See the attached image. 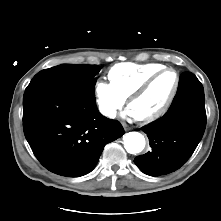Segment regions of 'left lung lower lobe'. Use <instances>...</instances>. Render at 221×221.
Masks as SVG:
<instances>
[{
    "label": "left lung lower lobe",
    "instance_id": "obj_1",
    "mask_svg": "<svg viewBox=\"0 0 221 221\" xmlns=\"http://www.w3.org/2000/svg\"><path fill=\"white\" fill-rule=\"evenodd\" d=\"M206 126L203 86L192 73H184L167 113L142 127L151 151L134 159L139 169L160 176L179 169L192 155Z\"/></svg>",
    "mask_w": 221,
    "mask_h": 221
}]
</instances>
